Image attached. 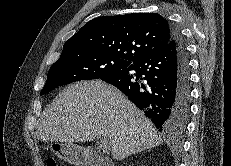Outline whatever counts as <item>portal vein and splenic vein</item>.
Returning a JSON list of instances; mask_svg holds the SVG:
<instances>
[{
  "label": "portal vein and splenic vein",
  "mask_w": 231,
  "mask_h": 166,
  "mask_svg": "<svg viewBox=\"0 0 231 166\" xmlns=\"http://www.w3.org/2000/svg\"><path fill=\"white\" fill-rule=\"evenodd\" d=\"M98 140H99V146L102 148L103 153H109L110 151V143L108 138L104 137V136H98Z\"/></svg>",
  "instance_id": "18ae733b"
}]
</instances>
